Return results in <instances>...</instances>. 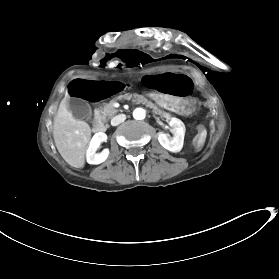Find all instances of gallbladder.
<instances>
[{"mask_svg":"<svg viewBox=\"0 0 279 279\" xmlns=\"http://www.w3.org/2000/svg\"><path fill=\"white\" fill-rule=\"evenodd\" d=\"M69 109L78 120L89 121L92 118L89 105L82 99H70Z\"/></svg>","mask_w":279,"mask_h":279,"instance_id":"gallbladder-1","label":"gallbladder"}]
</instances>
